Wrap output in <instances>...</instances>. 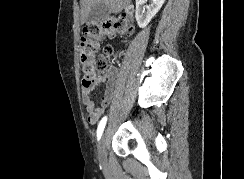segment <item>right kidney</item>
Returning a JSON list of instances; mask_svg holds the SVG:
<instances>
[{"mask_svg": "<svg viewBox=\"0 0 244 179\" xmlns=\"http://www.w3.org/2000/svg\"><path fill=\"white\" fill-rule=\"evenodd\" d=\"M147 0H136L135 18L139 28H146L152 18L162 8L165 0H153L151 6H145Z\"/></svg>", "mask_w": 244, "mask_h": 179, "instance_id": "obj_1", "label": "right kidney"}]
</instances>
